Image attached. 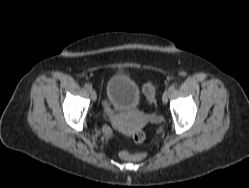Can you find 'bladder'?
<instances>
[{
	"label": "bladder",
	"instance_id": "bladder-1",
	"mask_svg": "<svg viewBox=\"0 0 249 188\" xmlns=\"http://www.w3.org/2000/svg\"><path fill=\"white\" fill-rule=\"evenodd\" d=\"M106 94L110 103L117 110L137 109L141 103L139 84L124 72H117L109 78Z\"/></svg>",
	"mask_w": 249,
	"mask_h": 188
}]
</instances>
